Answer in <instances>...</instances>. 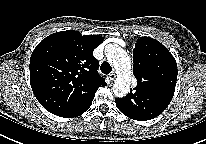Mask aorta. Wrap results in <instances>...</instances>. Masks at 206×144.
Segmentation results:
<instances>
[{
    "label": "aorta",
    "mask_w": 206,
    "mask_h": 144,
    "mask_svg": "<svg viewBox=\"0 0 206 144\" xmlns=\"http://www.w3.org/2000/svg\"><path fill=\"white\" fill-rule=\"evenodd\" d=\"M109 63L115 68L117 78L113 84V93L122 98L127 95L131 81V61L123 48L116 44H109L105 48Z\"/></svg>",
    "instance_id": "762f6f07"
}]
</instances>
